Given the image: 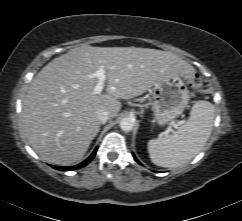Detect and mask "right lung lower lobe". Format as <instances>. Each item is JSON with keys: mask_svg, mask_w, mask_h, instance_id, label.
I'll use <instances>...</instances> for the list:
<instances>
[{"mask_svg": "<svg viewBox=\"0 0 242 221\" xmlns=\"http://www.w3.org/2000/svg\"><path fill=\"white\" fill-rule=\"evenodd\" d=\"M96 151H97V148L93 151V153L85 161H83L82 163H80L78 165L70 166V167H59V166H52V167L55 169H58V170H74V169L82 168V167L86 166L93 159V157L96 154Z\"/></svg>", "mask_w": 242, "mask_h": 221, "instance_id": "obj_1", "label": "right lung lower lobe"}]
</instances>
